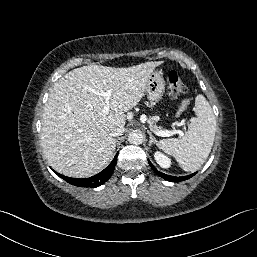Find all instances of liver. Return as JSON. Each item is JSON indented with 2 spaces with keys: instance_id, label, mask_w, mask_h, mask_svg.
<instances>
[{
  "instance_id": "1",
  "label": "liver",
  "mask_w": 257,
  "mask_h": 257,
  "mask_svg": "<svg viewBox=\"0 0 257 257\" xmlns=\"http://www.w3.org/2000/svg\"><path fill=\"white\" fill-rule=\"evenodd\" d=\"M162 61L115 68L88 65L76 68L53 86L44 107L41 146L48 163L59 173L87 178L104 169L115 151L110 135L124 127L125 112L141 100L149 76ZM111 90V111L98 92Z\"/></svg>"
}]
</instances>
